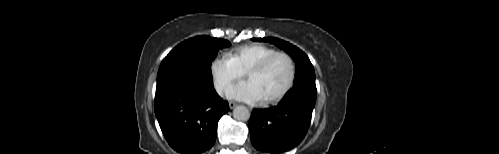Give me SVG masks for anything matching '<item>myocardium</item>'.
Masks as SVG:
<instances>
[{
    "instance_id": "1",
    "label": "myocardium",
    "mask_w": 499,
    "mask_h": 154,
    "mask_svg": "<svg viewBox=\"0 0 499 154\" xmlns=\"http://www.w3.org/2000/svg\"><path fill=\"white\" fill-rule=\"evenodd\" d=\"M277 57H283L287 60L288 65H289V77H288V80H287L284 88L277 95L264 100V103H266V104H273V103L279 102L288 94V92L292 88L294 80H295V75H296L295 63H294L293 58L287 52L275 51V52L269 54L268 56L264 57L262 60H260L259 62H257L253 66H251L246 71V75H248L251 72L263 71Z\"/></svg>"
}]
</instances>
